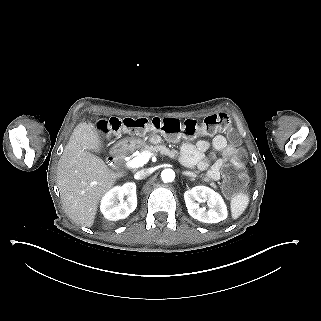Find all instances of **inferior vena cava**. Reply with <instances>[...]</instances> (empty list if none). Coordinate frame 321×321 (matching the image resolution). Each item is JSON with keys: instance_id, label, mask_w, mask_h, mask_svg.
I'll list each match as a JSON object with an SVG mask.
<instances>
[{"instance_id": "obj_1", "label": "inferior vena cava", "mask_w": 321, "mask_h": 321, "mask_svg": "<svg viewBox=\"0 0 321 321\" xmlns=\"http://www.w3.org/2000/svg\"><path fill=\"white\" fill-rule=\"evenodd\" d=\"M151 171L149 169H143L135 173V178L138 180H142L148 176H150Z\"/></svg>"}]
</instances>
